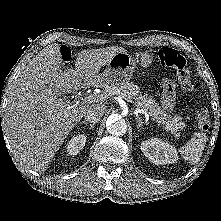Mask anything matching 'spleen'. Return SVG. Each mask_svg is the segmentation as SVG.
<instances>
[{
    "mask_svg": "<svg viewBox=\"0 0 221 221\" xmlns=\"http://www.w3.org/2000/svg\"><path fill=\"white\" fill-rule=\"evenodd\" d=\"M206 141L207 136L205 133L196 132L186 145L180 149L184 160L191 164H196L202 156Z\"/></svg>",
    "mask_w": 221,
    "mask_h": 221,
    "instance_id": "spleen-1",
    "label": "spleen"
}]
</instances>
